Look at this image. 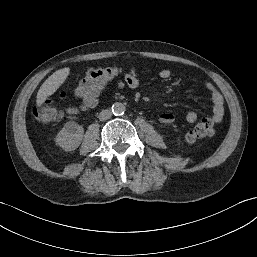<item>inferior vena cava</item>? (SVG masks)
Returning a JSON list of instances; mask_svg holds the SVG:
<instances>
[{"label": "inferior vena cava", "instance_id": "602c4592", "mask_svg": "<svg viewBox=\"0 0 257 257\" xmlns=\"http://www.w3.org/2000/svg\"><path fill=\"white\" fill-rule=\"evenodd\" d=\"M112 116V112L108 109L102 110L99 114L100 121H105L109 119Z\"/></svg>", "mask_w": 257, "mask_h": 257}]
</instances>
